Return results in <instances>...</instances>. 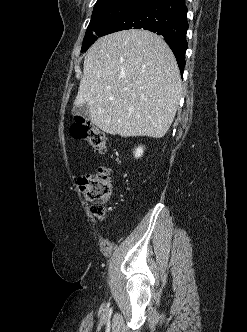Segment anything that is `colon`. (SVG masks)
Returning <instances> with one entry per match:
<instances>
[{"label":"colon","mask_w":247,"mask_h":332,"mask_svg":"<svg viewBox=\"0 0 247 332\" xmlns=\"http://www.w3.org/2000/svg\"><path fill=\"white\" fill-rule=\"evenodd\" d=\"M71 136L85 140L95 151L105 154L107 142L104 134L83 117H76L70 127ZM80 192L90 204L93 213L103 219L112 193V178L108 168L100 167L78 179Z\"/></svg>","instance_id":"1"}]
</instances>
